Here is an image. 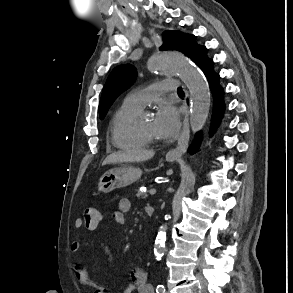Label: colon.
I'll return each instance as SVG.
<instances>
[{"mask_svg":"<svg viewBox=\"0 0 293 293\" xmlns=\"http://www.w3.org/2000/svg\"><path fill=\"white\" fill-rule=\"evenodd\" d=\"M101 214L97 208L86 207L82 212V219L84 224L88 227L94 228L100 222Z\"/></svg>","mask_w":293,"mask_h":293,"instance_id":"colon-1","label":"colon"}]
</instances>
